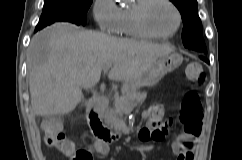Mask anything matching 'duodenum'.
Returning a JSON list of instances; mask_svg holds the SVG:
<instances>
[{
  "label": "duodenum",
  "instance_id": "duodenum-1",
  "mask_svg": "<svg viewBox=\"0 0 242 160\" xmlns=\"http://www.w3.org/2000/svg\"><path fill=\"white\" fill-rule=\"evenodd\" d=\"M106 103L104 94L94 97L88 104L86 110L87 120L93 134L98 142H113L120 138L123 131H113L102 120L101 113Z\"/></svg>",
  "mask_w": 242,
  "mask_h": 160
}]
</instances>
